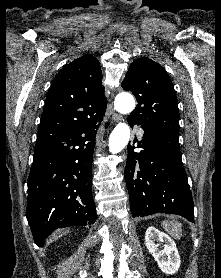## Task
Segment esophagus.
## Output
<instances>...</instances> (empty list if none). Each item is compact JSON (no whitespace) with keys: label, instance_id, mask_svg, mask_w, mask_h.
Listing matches in <instances>:
<instances>
[{"label":"esophagus","instance_id":"esophagus-1","mask_svg":"<svg viewBox=\"0 0 221 278\" xmlns=\"http://www.w3.org/2000/svg\"><path fill=\"white\" fill-rule=\"evenodd\" d=\"M112 119H113L114 122H118L122 119V116L114 113L113 116H112Z\"/></svg>","mask_w":221,"mask_h":278}]
</instances>
